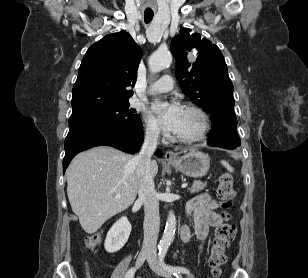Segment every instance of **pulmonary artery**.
Instances as JSON below:
<instances>
[{
    "label": "pulmonary artery",
    "mask_w": 308,
    "mask_h": 278,
    "mask_svg": "<svg viewBox=\"0 0 308 278\" xmlns=\"http://www.w3.org/2000/svg\"><path fill=\"white\" fill-rule=\"evenodd\" d=\"M173 86L174 82L172 77L169 75H165L149 87L148 93L158 94V93L169 92L173 89Z\"/></svg>",
    "instance_id": "pulmonary-artery-1"
}]
</instances>
